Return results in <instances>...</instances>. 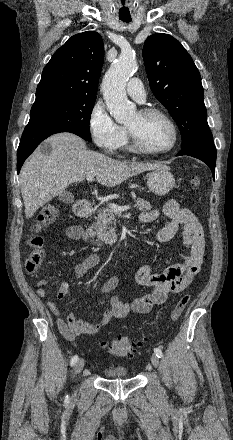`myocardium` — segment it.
Listing matches in <instances>:
<instances>
[{"instance_id": "1", "label": "myocardium", "mask_w": 233, "mask_h": 440, "mask_svg": "<svg viewBox=\"0 0 233 440\" xmlns=\"http://www.w3.org/2000/svg\"><path fill=\"white\" fill-rule=\"evenodd\" d=\"M138 112L142 116L158 115V116L162 117L169 124V126L172 130V141H171L170 145L164 149L151 150V149H148L147 147H145L141 143L138 136L131 129H129L127 127V132L130 137L132 149L139 154L148 155V156H159V155H163V154H166V153L172 151L177 145L179 135H178V128H177L174 120L171 118V116L168 113H166L165 111H163L162 109L155 108V107H146V108L139 110Z\"/></svg>"}]
</instances>
